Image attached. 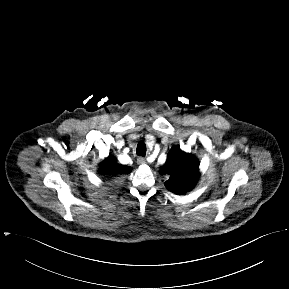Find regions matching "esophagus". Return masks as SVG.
I'll return each instance as SVG.
<instances>
[{
	"label": "esophagus",
	"mask_w": 289,
	"mask_h": 289,
	"mask_svg": "<svg viewBox=\"0 0 289 289\" xmlns=\"http://www.w3.org/2000/svg\"><path fill=\"white\" fill-rule=\"evenodd\" d=\"M137 163H138L139 165L146 164V159H145L144 157H138Z\"/></svg>",
	"instance_id": "esophagus-1"
}]
</instances>
